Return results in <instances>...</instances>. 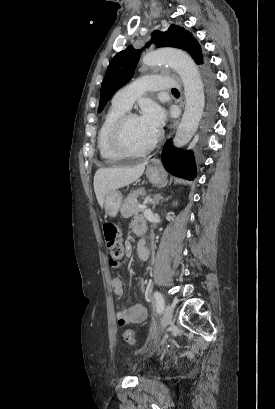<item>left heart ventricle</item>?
Wrapping results in <instances>:
<instances>
[{
    "label": "left heart ventricle",
    "mask_w": 275,
    "mask_h": 409,
    "mask_svg": "<svg viewBox=\"0 0 275 409\" xmlns=\"http://www.w3.org/2000/svg\"><path fill=\"white\" fill-rule=\"evenodd\" d=\"M156 136L142 118L132 120L127 127L126 142L134 149H141L146 147Z\"/></svg>",
    "instance_id": "b2bd125f"
}]
</instances>
